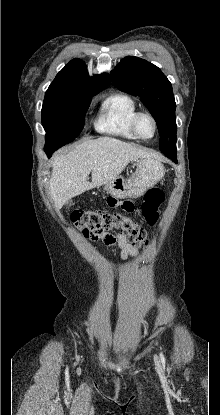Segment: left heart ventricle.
I'll return each mask as SVG.
<instances>
[{
    "mask_svg": "<svg viewBox=\"0 0 220 415\" xmlns=\"http://www.w3.org/2000/svg\"><path fill=\"white\" fill-rule=\"evenodd\" d=\"M138 131L144 138H150L154 133V126L148 117L140 118L138 122Z\"/></svg>",
    "mask_w": 220,
    "mask_h": 415,
    "instance_id": "left-heart-ventricle-1",
    "label": "left heart ventricle"
}]
</instances>
